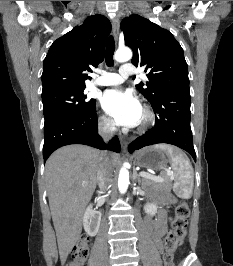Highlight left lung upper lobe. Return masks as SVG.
<instances>
[{"mask_svg":"<svg viewBox=\"0 0 233 266\" xmlns=\"http://www.w3.org/2000/svg\"><path fill=\"white\" fill-rule=\"evenodd\" d=\"M125 44L133 50L132 63L145 67L149 82L136 88L153 105L164 95L189 91L183 49L172 33L134 14L121 22Z\"/></svg>","mask_w":233,"mask_h":266,"instance_id":"1","label":"left lung upper lobe"}]
</instances>
